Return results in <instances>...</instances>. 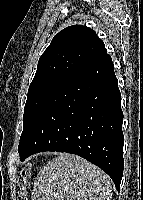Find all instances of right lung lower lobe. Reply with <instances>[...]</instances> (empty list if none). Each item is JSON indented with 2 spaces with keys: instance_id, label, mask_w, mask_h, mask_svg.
Returning <instances> with one entry per match:
<instances>
[{
  "instance_id": "right-lung-lower-lobe-1",
  "label": "right lung lower lobe",
  "mask_w": 143,
  "mask_h": 200,
  "mask_svg": "<svg viewBox=\"0 0 143 200\" xmlns=\"http://www.w3.org/2000/svg\"><path fill=\"white\" fill-rule=\"evenodd\" d=\"M122 121L121 93L108 55L69 75L46 99L18 147L20 160L43 151L77 154L105 171L119 190Z\"/></svg>"
}]
</instances>
